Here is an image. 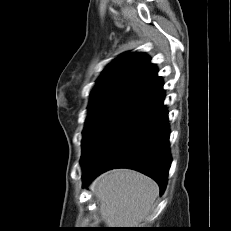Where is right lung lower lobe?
Returning <instances> with one entry per match:
<instances>
[{
    "mask_svg": "<svg viewBox=\"0 0 231 231\" xmlns=\"http://www.w3.org/2000/svg\"><path fill=\"white\" fill-rule=\"evenodd\" d=\"M169 137L163 99L129 120L93 153L82 166L83 187L104 171L130 168L154 179L162 195L172 160Z\"/></svg>",
    "mask_w": 231,
    "mask_h": 231,
    "instance_id": "right-lung-lower-lobe-1",
    "label": "right lung lower lobe"
}]
</instances>
